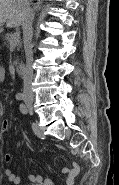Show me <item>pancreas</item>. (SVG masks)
<instances>
[{
  "label": "pancreas",
  "instance_id": "cf45deb5",
  "mask_svg": "<svg viewBox=\"0 0 119 185\" xmlns=\"http://www.w3.org/2000/svg\"><path fill=\"white\" fill-rule=\"evenodd\" d=\"M12 35L13 34H11V33L5 34L4 39H5L6 43H9L10 42V39H11ZM20 47H21V44L19 43L18 44V48H20Z\"/></svg>",
  "mask_w": 119,
  "mask_h": 185
}]
</instances>
